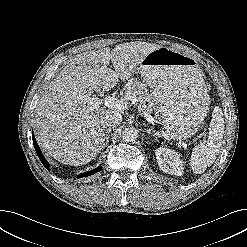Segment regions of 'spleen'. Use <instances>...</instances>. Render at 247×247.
<instances>
[{"instance_id": "obj_1", "label": "spleen", "mask_w": 247, "mask_h": 247, "mask_svg": "<svg viewBox=\"0 0 247 247\" xmlns=\"http://www.w3.org/2000/svg\"><path fill=\"white\" fill-rule=\"evenodd\" d=\"M224 133V119L221 108L215 107L210 122L207 141L194 147L190 165L195 174L205 172L212 165L219 153Z\"/></svg>"}]
</instances>
